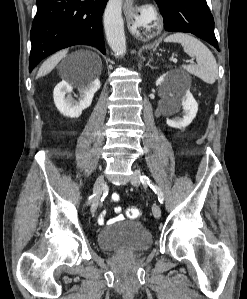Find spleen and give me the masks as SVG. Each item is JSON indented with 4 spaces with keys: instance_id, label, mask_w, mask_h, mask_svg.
<instances>
[{
    "instance_id": "obj_1",
    "label": "spleen",
    "mask_w": 247,
    "mask_h": 299,
    "mask_svg": "<svg viewBox=\"0 0 247 299\" xmlns=\"http://www.w3.org/2000/svg\"><path fill=\"white\" fill-rule=\"evenodd\" d=\"M165 42L180 43L184 52L196 58L197 64L182 65L187 72L208 84L218 78V65L212 52L197 38L186 33H175L165 38Z\"/></svg>"
}]
</instances>
